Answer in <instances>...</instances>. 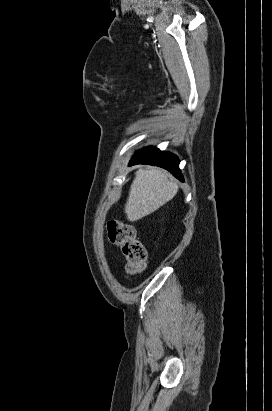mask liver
Masks as SVG:
<instances>
[{"mask_svg":"<svg viewBox=\"0 0 272 411\" xmlns=\"http://www.w3.org/2000/svg\"><path fill=\"white\" fill-rule=\"evenodd\" d=\"M178 184L168 174L156 167L140 168L131 184L125 213L130 222L139 220L158 210L170 201Z\"/></svg>","mask_w":272,"mask_h":411,"instance_id":"liver-1","label":"liver"}]
</instances>
